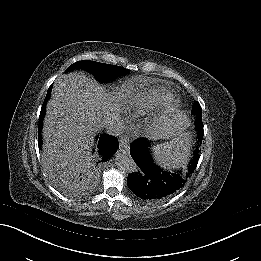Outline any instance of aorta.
Returning <instances> with one entry per match:
<instances>
[{
  "label": "aorta",
  "instance_id": "762f6f07",
  "mask_svg": "<svg viewBox=\"0 0 261 261\" xmlns=\"http://www.w3.org/2000/svg\"><path fill=\"white\" fill-rule=\"evenodd\" d=\"M116 165L121 171L126 173H134L138 169L132 157L122 153H118L116 156Z\"/></svg>",
  "mask_w": 261,
  "mask_h": 261
}]
</instances>
